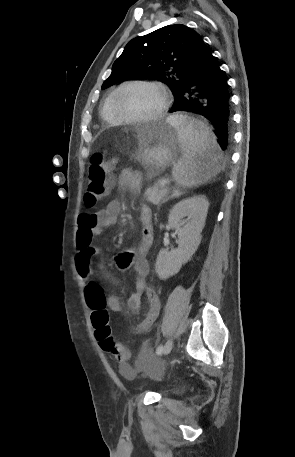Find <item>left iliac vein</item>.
Instances as JSON below:
<instances>
[{
    "instance_id": "left-iliac-vein-1",
    "label": "left iliac vein",
    "mask_w": 295,
    "mask_h": 457,
    "mask_svg": "<svg viewBox=\"0 0 295 457\" xmlns=\"http://www.w3.org/2000/svg\"><path fill=\"white\" fill-rule=\"evenodd\" d=\"M172 348H173V341H172V339H169V340H167V342L164 345V349H163L162 354L163 355H167L168 353H170Z\"/></svg>"
}]
</instances>
